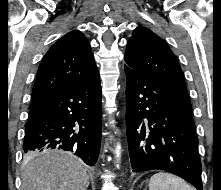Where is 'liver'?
<instances>
[{
  "mask_svg": "<svg viewBox=\"0 0 221 190\" xmlns=\"http://www.w3.org/2000/svg\"><path fill=\"white\" fill-rule=\"evenodd\" d=\"M21 177L22 190H83L89 184L81 161L67 153L26 155Z\"/></svg>",
  "mask_w": 221,
  "mask_h": 190,
  "instance_id": "1",
  "label": "liver"
}]
</instances>
